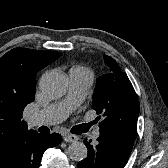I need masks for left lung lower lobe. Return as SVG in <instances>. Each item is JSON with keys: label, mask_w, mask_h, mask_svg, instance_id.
I'll return each instance as SVG.
<instances>
[{"label": "left lung lower lobe", "mask_w": 168, "mask_h": 168, "mask_svg": "<svg viewBox=\"0 0 168 168\" xmlns=\"http://www.w3.org/2000/svg\"><path fill=\"white\" fill-rule=\"evenodd\" d=\"M96 145L84 141L88 156L78 163V168H124L134 141L110 131H100Z\"/></svg>", "instance_id": "obj_1"}]
</instances>
